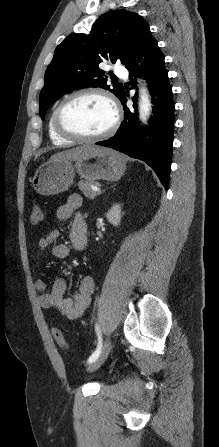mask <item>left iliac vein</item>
<instances>
[{
    "label": "left iliac vein",
    "instance_id": "left-iliac-vein-1",
    "mask_svg": "<svg viewBox=\"0 0 219 447\" xmlns=\"http://www.w3.org/2000/svg\"><path fill=\"white\" fill-rule=\"evenodd\" d=\"M110 350H111V341L109 339H106L99 356L97 357V359L95 361L91 362L88 365L87 371L93 372V371L97 370L107 359V357L110 353Z\"/></svg>",
    "mask_w": 219,
    "mask_h": 447
}]
</instances>
